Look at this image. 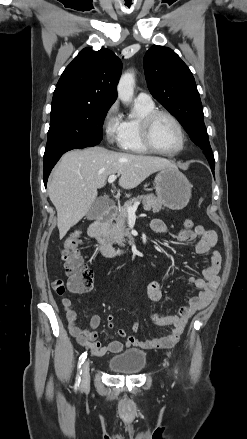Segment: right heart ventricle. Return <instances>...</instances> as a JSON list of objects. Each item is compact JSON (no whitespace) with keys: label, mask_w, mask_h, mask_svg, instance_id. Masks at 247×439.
<instances>
[{"label":"right heart ventricle","mask_w":247,"mask_h":439,"mask_svg":"<svg viewBox=\"0 0 247 439\" xmlns=\"http://www.w3.org/2000/svg\"><path fill=\"white\" fill-rule=\"evenodd\" d=\"M155 110L154 103H143L135 101L133 113L122 121L123 133L120 141V148L127 152L146 153L141 141L140 126L142 119Z\"/></svg>","instance_id":"right-heart-ventricle-1"}]
</instances>
